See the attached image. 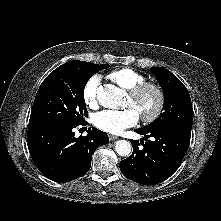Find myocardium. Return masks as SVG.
I'll use <instances>...</instances> for the list:
<instances>
[{"label":"myocardium","instance_id":"obj_1","mask_svg":"<svg viewBox=\"0 0 221 221\" xmlns=\"http://www.w3.org/2000/svg\"><path fill=\"white\" fill-rule=\"evenodd\" d=\"M147 91H153L156 94L157 103L154 110L148 115H140L141 120L146 123L156 121L163 113L166 103V95L161 85L155 82H143L131 90H129V97L132 100H138Z\"/></svg>","mask_w":221,"mask_h":221}]
</instances>
